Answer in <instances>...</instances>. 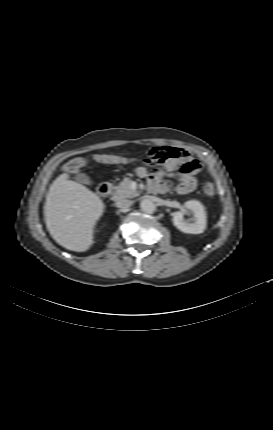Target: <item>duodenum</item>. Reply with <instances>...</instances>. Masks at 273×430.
Here are the masks:
<instances>
[{
  "instance_id": "410a0bca",
  "label": "duodenum",
  "mask_w": 273,
  "mask_h": 430,
  "mask_svg": "<svg viewBox=\"0 0 273 430\" xmlns=\"http://www.w3.org/2000/svg\"><path fill=\"white\" fill-rule=\"evenodd\" d=\"M110 192V183L108 181H103L97 185V193L100 196H106Z\"/></svg>"
}]
</instances>
